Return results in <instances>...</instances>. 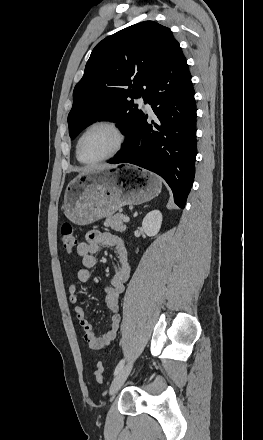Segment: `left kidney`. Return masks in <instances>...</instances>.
<instances>
[{"instance_id":"1","label":"left kidney","mask_w":263,"mask_h":440,"mask_svg":"<svg viewBox=\"0 0 263 440\" xmlns=\"http://www.w3.org/2000/svg\"><path fill=\"white\" fill-rule=\"evenodd\" d=\"M162 214L159 210L149 212L142 221V228L147 236H156L161 228Z\"/></svg>"}]
</instances>
